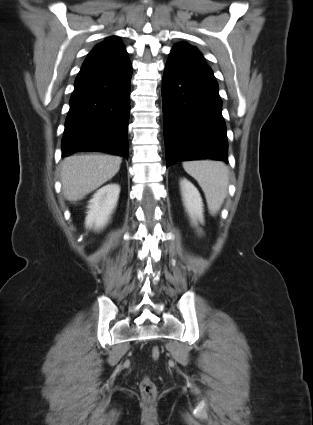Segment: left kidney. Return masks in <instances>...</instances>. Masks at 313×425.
<instances>
[{
  "label": "left kidney",
  "instance_id": "1",
  "mask_svg": "<svg viewBox=\"0 0 313 425\" xmlns=\"http://www.w3.org/2000/svg\"><path fill=\"white\" fill-rule=\"evenodd\" d=\"M184 206L194 225L197 221L203 223V202L197 188L187 179L180 181Z\"/></svg>",
  "mask_w": 313,
  "mask_h": 425
}]
</instances>
